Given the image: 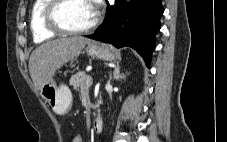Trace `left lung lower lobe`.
Instances as JSON below:
<instances>
[{
	"mask_svg": "<svg viewBox=\"0 0 227 142\" xmlns=\"http://www.w3.org/2000/svg\"><path fill=\"white\" fill-rule=\"evenodd\" d=\"M163 12L161 0H132L129 4L115 0L114 5L108 4L104 23L88 37H98L117 48L132 47L150 65Z\"/></svg>",
	"mask_w": 227,
	"mask_h": 142,
	"instance_id": "obj_1",
	"label": "left lung lower lobe"
}]
</instances>
